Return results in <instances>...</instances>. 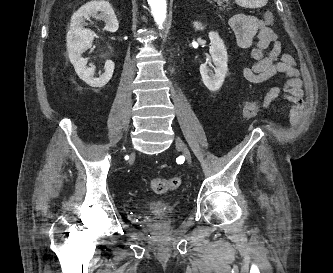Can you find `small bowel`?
<instances>
[{
  "mask_svg": "<svg viewBox=\"0 0 333 273\" xmlns=\"http://www.w3.org/2000/svg\"><path fill=\"white\" fill-rule=\"evenodd\" d=\"M230 26L237 45L247 50L253 60L251 65L241 68V75L246 81L259 84L278 73L286 77L284 84L268 89L261 107L265 109L272 102L283 99L291 116L295 117L296 111L303 105L301 80L293 57L283 52L277 34L263 19L247 13L233 15Z\"/></svg>",
  "mask_w": 333,
  "mask_h": 273,
  "instance_id": "small-bowel-1",
  "label": "small bowel"
}]
</instances>
